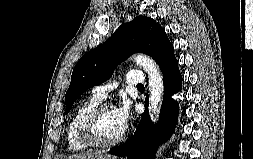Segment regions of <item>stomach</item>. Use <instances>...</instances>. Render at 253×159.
<instances>
[{
	"mask_svg": "<svg viewBox=\"0 0 253 159\" xmlns=\"http://www.w3.org/2000/svg\"><path fill=\"white\" fill-rule=\"evenodd\" d=\"M102 159H117L116 157H105V158H102Z\"/></svg>",
	"mask_w": 253,
	"mask_h": 159,
	"instance_id": "1",
	"label": "stomach"
}]
</instances>
